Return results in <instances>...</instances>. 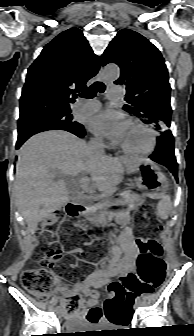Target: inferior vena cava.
<instances>
[{"label": "inferior vena cava", "mask_w": 194, "mask_h": 336, "mask_svg": "<svg viewBox=\"0 0 194 336\" xmlns=\"http://www.w3.org/2000/svg\"><path fill=\"white\" fill-rule=\"evenodd\" d=\"M89 148L100 155H104L105 154V150H104V145L102 143V140L96 139V140H92L89 144H88Z\"/></svg>", "instance_id": "obj_1"}]
</instances>
